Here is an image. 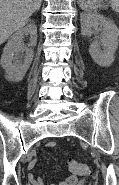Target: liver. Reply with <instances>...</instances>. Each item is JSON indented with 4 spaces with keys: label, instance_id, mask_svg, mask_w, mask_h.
Returning a JSON list of instances; mask_svg holds the SVG:
<instances>
[{
    "label": "liver",
    "instance_id": "6515ba94",
    "mask_svg": "<svg viewBox=\"0 0 119 185\" xmlns=\"http://www.w3.org/2000/svg\"><path fill=\"white\" fill-rule=\"evenodd\" d=\"M42 0H0V45L28 22Z\"/></svg>",
    "mask_w": 119,
    "mask_h": 185
}]
</instances>
